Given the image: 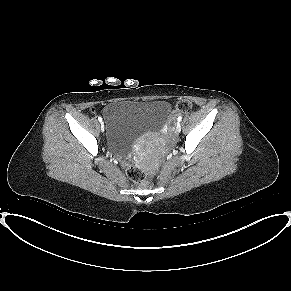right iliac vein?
<instances>
[{
	"instance_id": "1",
	"label": "right iliac vein",
	"mask_w": 291,
	"mask_h": 291,
	"mask_svg": "<svg viewBox=\"0 0 291 291\" xmlns=\"http://www.w3.org/2000/svg\"><path fill=\"white\" fill-rule=\"evenodd\" d=\"M101 130L104 131V123H101Z\"/></svg>"
}]
</instances>
